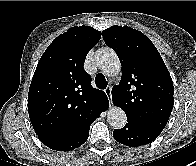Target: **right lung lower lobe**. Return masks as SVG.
I'll list each match as a JSON object with an SVG mask.
<instances>
[{"label": "right lung lower lobe", "instance_id": "obj_1", "mask_svg": "<svg viewBox=\"0 0 196 166\" xmlns=\"http://www.w3.org/2000/svg\"><path fill=\"white\" fill-rule=\"evenodd\" d=\"M109 102L102 100L91 111L90 118L85 127L80 131L71 133H53L38 136L40 141L47 147L57 151H70L78 148L88 139L89 128L92 122L95 121L101 114V112L107 110Z\"/></svg>", "mask_w": 196, "mask_h": 166}]
</instances>
